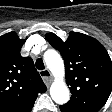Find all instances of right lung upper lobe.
<instances>
[{"label": "right lung upper lobe", "mask_w": 112, "mask_h": 112, "mask_svg": "<svg viewBox=\"0 0 112 112\" xmlns=\"http://www.w3.org/2000/svg\"><path fill=\"white\" fill-rule=\"evenodd\" d=\"M25 41L14 32L0 36V112H31L47 90L33 60L20 54Z\"/></svg>", "instance_id": "cb5924a9"}]
</instances>
